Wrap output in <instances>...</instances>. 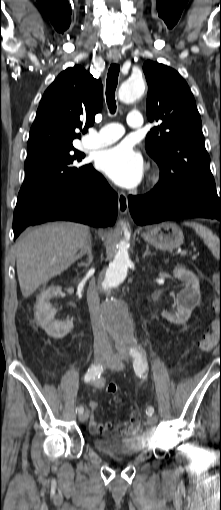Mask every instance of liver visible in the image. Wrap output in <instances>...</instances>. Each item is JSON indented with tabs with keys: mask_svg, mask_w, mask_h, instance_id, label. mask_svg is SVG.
<instances>
[{
	"mask_svg": "<svg viewBox=\"0 0 221 510\" xmlns=\"http://www.w3.org/2000/svg\"><path fill=\"white\" fill-rule=\"evenodd\" d=\"M89 238V228L55 222L24 232L15 244L22 295L29 297L40 285L68 269Z\"/></svg>",
	"mask_w": 221,
	"mask_h": 510,
	"instance_id": "obj_1",
	"label": "liver"
}]
</instances>
